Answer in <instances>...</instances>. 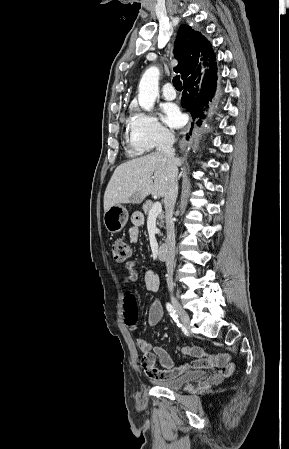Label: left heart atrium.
I'll use <instances>...</instances> for the list:
<instances>
[{
    "mask_svg": "<svg viewBox=\"0 0 289 449\" xmlns=\"http://www.w3.org/2000/svg\"><path fill=\"white\" fill-rule=\"evenodd\" d=\"M163 121L170 127L179 128L184 124V117L177 105L173 103L164 104Z\"/></svg>",
    "mask_w": 289,
    "mask_h": 449,
    "instance_id": "1",
    "label": "left heart atrium"
}]
</instances>
